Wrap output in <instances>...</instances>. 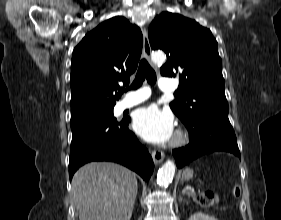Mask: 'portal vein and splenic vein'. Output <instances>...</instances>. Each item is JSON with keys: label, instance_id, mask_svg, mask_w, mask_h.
Instances as JSON below:
<instances>
[{"label": "portal vein and splenic vein", "instance_id": "1", "mask_svg": "<svg viewBox=\"0 0 281 220\" xmlns=\"http://www.w3.org/2000/svg\"><path fill=\"white\" fill-rule=\"evenodd\" d=\"M188 190H191V191H193V189L192 188H187ZM184 192H186V190H184Z\"/></svg>", "mask_w": 281, "mask_h": 220}]
</instances>
